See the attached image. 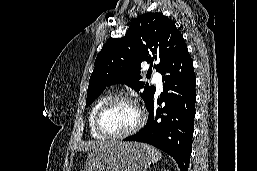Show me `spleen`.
I'll return each instance as SVG.
<instances>
[{
    "label": "spleen",
    "instance_id": "1",
    "mask_svg": "<svg viewBox=\"0 0 257 171\" xmlns=\"http://www.w3.org/2000/svg\"><path fill=\"white\" fill-rule=\"evenodd\" d=\"M146 148L149 151L150 160L152 163H156L161 159V153L157 149L147 146V145H146Z\"/></svg>",
    "mask_w": 257,
    "mask_h": 171
}]
</instances>
